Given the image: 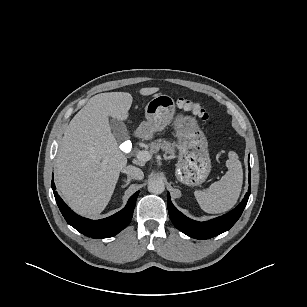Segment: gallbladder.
<instances>
[{"label":"gallbladder","mask_w":307,"mask_h":307,"mask_svg":"<svg viewBox=\"0 0 307 307\" xmlns=\"http://www.w3.org/2000/svg\"><path fill=\"white\" fill-rule=\"evenodd\" d=\"M109 123L114 136L120 141L125 140L127 137V128L125 124L122 121L113 118L110 119Z\"/></svg>","instance_id":"bac80fb5"}]
</instances>
